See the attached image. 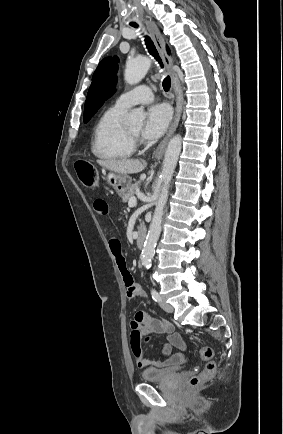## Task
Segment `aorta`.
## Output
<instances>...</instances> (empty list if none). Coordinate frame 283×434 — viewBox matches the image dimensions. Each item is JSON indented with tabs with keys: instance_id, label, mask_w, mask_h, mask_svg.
<instances>
[{
	"instance_id": "obj_1",
	"label": "aorta",
	"mask_w": 283,
	"mask_h": 434,
	"mask_svg": "<svg viewBox=\"0 0 283 434\" xmlns=\"http://www.w3.org/2000/svg\"><path fill=\"white\" fill-rule=\"evenodd\" d=\"M151 66V60L148 57L130 58L126 62L124 79L128 84L139 83L147 74ZM145 119V113L141 109L132 110L125 118V124L128 126H140ZM182 147V138L175 135L169 141L165 158L163 161L161 180L162 187L159 198L156 202L153 218L149 231L142 249V264L146 268L151 267V260L155 254L156 243L161 233V224L163 218V209L168 199L169 186L178 161Z\"/></svg>"
}]
</instances>
